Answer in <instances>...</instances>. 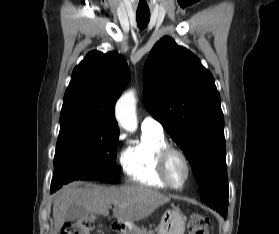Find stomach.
Returning <instances> with one entry per match:
<instances>
[{
	"label": "stomach",
	"mask_w": 279,
	"mask_h": 234,
	"mask_svg": "<svg viewBox=\"0 0 279 234\" xmlns=\"http://www.w3.org/2000/svg\"><path fill=\"white\" fill-rule=\"evenodd\" d=\"M186 216L179 210L166 211L158 225L157 234H184ZM119 230L122 234H146L133 222L120 223Z\"/></svg>",
	"instance_id": "1"
}]
</instances>
